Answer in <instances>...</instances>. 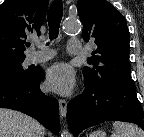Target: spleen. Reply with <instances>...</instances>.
Segmentation results:
<instances>
[{
    "instance_id": "spleen-1",
    "label": "spleen",
    "mask_w": 144,
    "mask_h": 137,
    "mask_svg": "<svg viewBox=\"0 0 144 137\" xmlns=\"http://www.w3.org/2000/svg\"><path fill=\"white\" fill-rule=\"evenodd\" d=\"M113 128L111 137H144V131L131 123L114 122Z\"/></svg>"
}]
</instances>
